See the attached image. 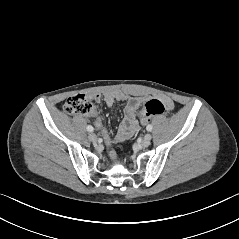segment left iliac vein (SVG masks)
I'll return each mask as SVG.
<instances>
[{"instance_id":"obj_1","label":"left iliac vein","mask_w":239,"mask_h":239,"mask_svg":"<svg viewBox=\"0 0 239 239\" xmlns=\"http://www.w3.org/2000/svg\"><path fill=\"white\" fill-rule=\"evenodd\" d=\"M152 136L150 134H146L145 137L143 138V140L141 141V146L142 147H148L150 145Z\"/></svg>"}]
</instances>
